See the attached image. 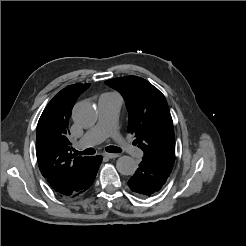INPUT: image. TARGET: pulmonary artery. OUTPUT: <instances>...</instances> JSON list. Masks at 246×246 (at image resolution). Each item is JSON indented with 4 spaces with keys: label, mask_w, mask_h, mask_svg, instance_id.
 I'll list each match as a JSON object with an SVG mask.
<instances>
[{
    "label": "pulmonary artery",
    "mask_w": 246,
    "mask_h": 246,
    "mask_svg": "<svg viewBox=\"0 0 246 246\" xmlns=\"http://www.w3.org/2000/svg\"><path fill=\"white\" fill-rule=\"evenodd\" d=\"M121 105L122 98L118 94H102L98 100V121L85 133L79 146H92L102 142L110 135H114ZM117 142L134 159L140 160L142 158L143 151L140 148L132 146L120 137H117Z\"/></svg>",
    "instance_id": "pulmonary-artery-1"
}]
</instances>
